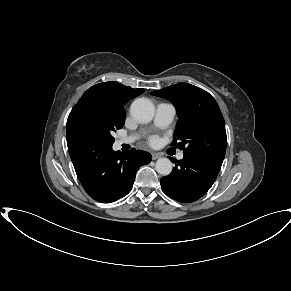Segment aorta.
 Masks as SVG:
<instances>
[{"mask_svg":"<svg viewBox=\"0 0 291 291\" xmlns=\"http://www.w3.org/2000/svg\"><path fill=\"white\" fill-rule=\"evenodd\" d=\"M130 114L137 122L148 123L154 117L155 107L149 99L138 98L131 104ZM172 168V162L168 158H160L156 161L155 169L160 175H169Z\"/></svg>","mask_w":291,"mask_h":291,"instance_id":"762f6f07","label":"aorta"}]
</instances>
